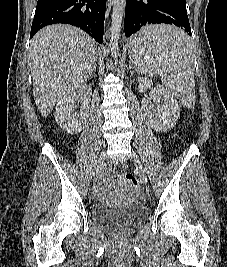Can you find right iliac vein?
Here are the masks:
<instances>
[{
    "label": "right iliac vein",
    "instance_id": "63e3f726",
    "mask_svg": "<svg viewBox=\"0 0 227 267\" xmlns=\"http://www.w3.org/2000/svg\"><path fill=\"white\" fill-rule=\"evenodd\" d=\"M105 152L102 151L97 159L96 166L93 173V181H97L101 170L105 165Z\"/></svg>",
    "mask_w": 227,
    "mask_h": 267
}]
</instances>
